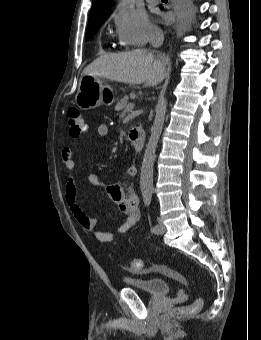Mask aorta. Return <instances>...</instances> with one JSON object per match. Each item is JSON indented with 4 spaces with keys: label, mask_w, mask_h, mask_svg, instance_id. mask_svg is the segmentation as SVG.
Listing matches in <instances>:
<instances>
[{
    "label": "aorta",
    "mask_w": 261,
    "mask_h": 340,
    "mask_svg": "<svg viewBox=\"0 0 261 340\" xmlns=\"http://www.w3.org/2000/svg\"><path fill=\"white\" fill-rule=\"evenodd\" d=\"M134 0H121L120 6L124 9H131ZM167 111V99L160 95L155 108V119L151 127V135L146 145L141 174H140V189L143 196H149L153 193V167L155 161V153L157 144L164 126L165 115Z\"/></svg>",
    "instance_id": "762f6f07"
}]
</instances>
